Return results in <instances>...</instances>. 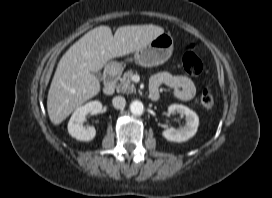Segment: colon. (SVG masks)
<instances>
[{"instance_id": "1", "label": "colon", "mask_w": 272, "mask_h": 198, "mask_svg": "<svg viewBox=\"0 0 272 198\" xmlns=\"http://www.w3.org/2000/svg\"><path fill=\"white\" fill-rule=\"evenodd\" d=\"M182 65L184 70L191 75H199L203 69L201 60L193 51H188L184 54L182 57ZM201 104L206 109L213 108L215 104V97L210 88H205L202 91Z\"/></svg>"}]
</instances>
